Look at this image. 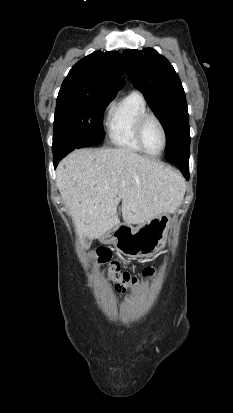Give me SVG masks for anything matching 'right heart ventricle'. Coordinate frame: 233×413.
<instances>
[{
    "instance_id": "obj_1",
    "label": "right heart ventricle",
    "mask_w": 233,
    "mask_h": 413,
    "mask_svg": "<svg viewBox=\"0 0 233 413\" xmlns=\"http://www.w3.org/2000/svg\"><path fill=\"white\" fill-rule=\"evenodd\" d=\"M146 111V100L139 91H131L114 103L106 120L109 142L127 151L143 152L135 138V124L138 117Z\"/></svg>"
}]
</instances>
